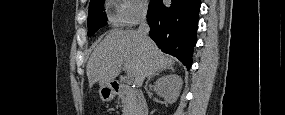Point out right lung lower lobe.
I'll return each mask as SVG.
<instances>
[{
	"label": "right lung lower lobe",
	"instance_id": "98d812e1",
	"mask_svg": "<svg viewBox=\"0 0 285 115\" xmlns=\"http://www.w3.org/2000/svg\"><path fill=\"white\" fill-rule=\"evenodd\" d=\"M150 0L147 21L149 36L165 53L177 57L188 69L196 45L200 0Z\"/></svg>",
	"mask_w": 285,
	"mask_h": 115
}]
</instances>
